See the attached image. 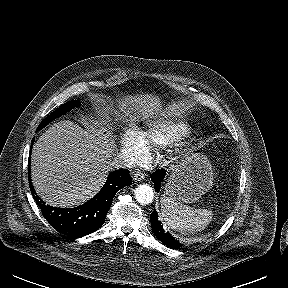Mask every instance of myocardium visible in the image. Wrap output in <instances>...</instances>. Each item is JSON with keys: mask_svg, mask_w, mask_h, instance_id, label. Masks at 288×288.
<instances>
[{"mask_svg": "<svg viewBox=\"0 0 288 288\" xmlns=\"http://www.w3.org/2000/svg\"><path fill=\"white\" fill-rule=\"evenodd\" d=\"M179 145H180V146H182V145H183V143L181 142Z\"/></svg>", "mask_w": 288, "mask_h": 288, "instance_id": "obj_1", "label": "myocardium"}]
</instances>
